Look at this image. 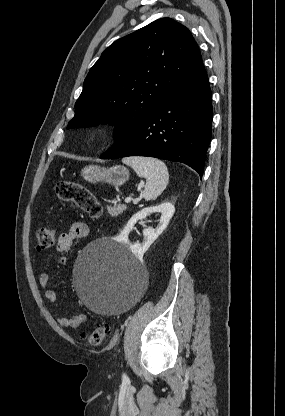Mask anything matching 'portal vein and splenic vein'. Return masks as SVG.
Segmentation results:
<instances>
[{
  "label": "portal vein and splenic vein",
  "instance_id": "obj_1",
  "mask_svg": "<svg viewBox=\"0 0 285 416\" xmlns=\"http://www.w3.org/2000/svg\"><path fill=\"white\" fill-rule=\"evenodd\" d=\"M132 198H125V202L126 204H129V202H131Z\"/></svg>",
  "mask_w": 285,
  "mask_h": 416
}]
</instances>
